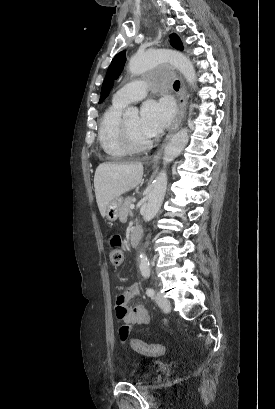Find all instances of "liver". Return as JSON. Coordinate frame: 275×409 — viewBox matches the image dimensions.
<instances>
[{"label":"liver","instance_id":"obj_1","mask_svg":"<svg viewBox=\"0 0 275 409\" xmlns=\"http://www.w3.org/2000/svg\"><path fill=\"white\" fill-rule=\"evenodd\" d=\"M143 174L142 162L136 164H112L101 162L95 170L94 186L97 205L102 217H105L106 207L112 198H117L123 192L135 188L141 182Z\"/></svg>","mask_w":275,"mask_h":409}]
</instances>
